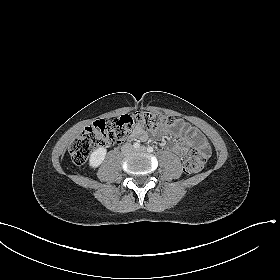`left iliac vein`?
<instances>
[{"mask_svg": "<svg viewBox=\"0 0 280 280\" xmlns=\"http://www.w3.org/2000/svg\"><path fill=\"white\" fill-rule=\"evenodd\" d=\"M137 151L139 152H145L146 151V148L144 146H142L140 149H138Z\"/></svg>", "mask_w": 280, "mask_h": 280, "instance_id": "4c4485c4", "label": "left iliac vein"}]
</instances>
